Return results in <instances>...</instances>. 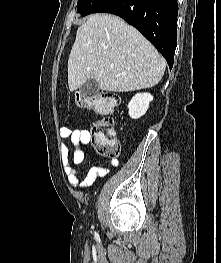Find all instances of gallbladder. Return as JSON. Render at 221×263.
Segmentation results:
<instances>
[{"label":"gallbladder","instance_id":"gallbladder-1","mask_svg":"<svg viewBox=\"0 0 221 263\" xmlns=\"http://www.w3.org/2000/svg\"><path fill=\"white\" fill-rule=\"evenodd\" d=\"M79 91L82 95H94L99 91V85L96 80L88 79L80 88Z\"/></svg>","mask_w":221,"mask_h":263}]
</instances>
